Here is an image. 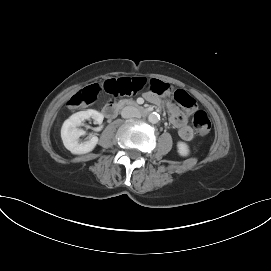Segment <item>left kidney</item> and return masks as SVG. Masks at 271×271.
I'll return each instance as SVG.
<instances>
[{
	"instance_id": "left-kidney-1",
	"label": "left kidney",
	"mask_w": 271,
	"mask_h": 271,
	"mask_svg": "<svg viewBox=\"0 0 271 271\" xmlns=\"http://www.w3.org/2000/svg\"><path fill=\"white\" fill-rule=\"evenodd\" d=\"M177 149L181 156H187L190 152L188 145L181 141L177 143Z\"/></svg>"
}]
</instances>
